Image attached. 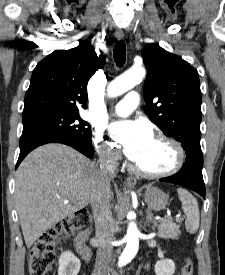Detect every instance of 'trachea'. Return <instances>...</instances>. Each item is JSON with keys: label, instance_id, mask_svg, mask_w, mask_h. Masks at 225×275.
Masks as SVG:
<instances>
[{"label": "trachea", "instance_id": "obj_1", "mask_svg": "<svg viewBox=\"0 0 225 275\" xmlns=\"http://www.w3.org/2000/svg\"><path fill=\"white\" fill-rule=\"evenodd\" d=\"M114 60L118 67H122L126 60V45L124 41H118L116 42L114 46Z\"/></svg>", "mask_w": 225, "mask_h": 275}]
</instances>
